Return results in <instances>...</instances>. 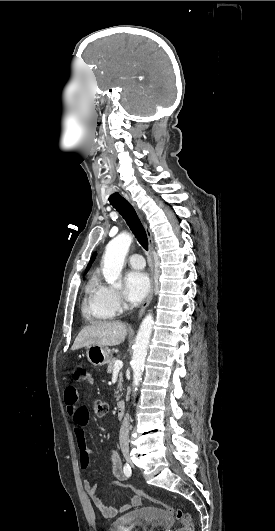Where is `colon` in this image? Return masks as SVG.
<instances>
[{
  "label": "colon",
  "instance_id": "colon-1",
  "mask_svg": "<svg viewBox=\"0 0 275 531\" xmlns=\"http://www.w3.org/2000/svg\"><path fill=\"white\" fill-rule=\"evenodd\" d=\"M94 410L95 414L98 417H104L107 414V404L102 400H95L94 402ZM119 485V483H114L112 486ZM125 487H130V491L133 494H136L137 496H143V498H147L151 500L152 502L161 505L164 510L168 513H171L175 516L179 523V531H194V526L192 523V518L190 514L185 512L182 508L179 507H173L167 503H164L163 501L159 499H154L144 493V490H142L139 486L134 487L132 484L125 485Z\"/></svg>",
  "mask_w": 275,
  "mask_h": 531
}]
</instances>
